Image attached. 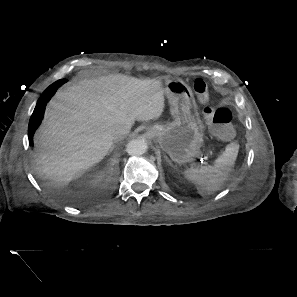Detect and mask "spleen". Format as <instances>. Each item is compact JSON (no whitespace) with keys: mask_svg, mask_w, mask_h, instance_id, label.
Here are the masks:
<instances>
[{"mask_svg":"<svg viewBox=\"0 0 297 297\" xmlns=\"http://www.w3.org/2000/svg\"><path fill=\"white\" fill-rule=\"evenodd\" d=\"M238 150L239 145L231 143L217 157L213 165L205 166L201 169H187L183 172L184 177L196 185L198 193L202 196L218 191L229 178Z\"/></svg>","mask_w":297,"mask_h":297,"instance_id":"spleen-1","label":"spleen"}]
</instances>
